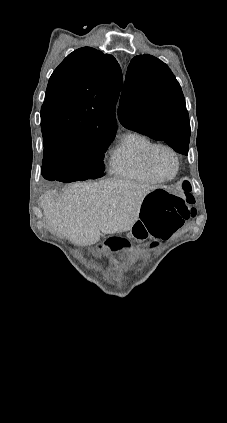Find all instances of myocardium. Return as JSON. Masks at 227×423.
<instances>
[{"label": "myocardium", "mask_w": 227, "mask_h": 423, "mask_svg": "<svg viewBox=\"0 0 227 423\" xmlns=\"http://www.w3.org/2000/svg\"><path fill=\"white\" fill-rule=\"evenodd\" d=\"M158 149H165V150L169 151L172 154V156H173V158L175 160L176 170H175L174 175L172 177H170V178H164V177H162L156 171V169H155V167L153 165L152 158H153V155H154L155 151L158 150ZM145 165H146L147 169L149 170V172L155 178H157L161 182H169V181L174 180L178 176V174H179V171H180V157H179V154L177 153V151L172 146H170L168 144H164V143H155V144H153V145H151L149 147V149L147 150V152L145 154Z\"/></svg>", "instance_id": "obj_1"}]
</instances>
